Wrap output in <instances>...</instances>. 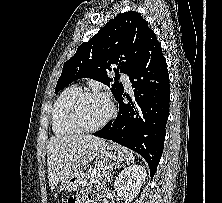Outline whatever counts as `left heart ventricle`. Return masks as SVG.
<instances>
[{
	"label": "left heart ventricle",
	"instance_id": "obj_1",
	"mask_svg": "<svg viewBox=\"0 0 222 203\" xmlns=\"http://www.w3.org/2000/svg\"><path fill=\"white\" fill-rule=\"evenodd\" d=\"M79 116L86 125L101 122L109 113L108 103L100 97H88L79 106Z\"/></svg>",
	"mask_w": 222,
	"mask_h": 203
}]
</instances>
